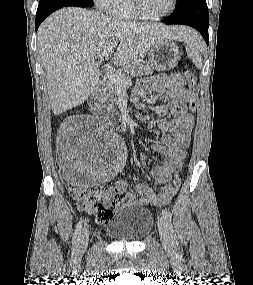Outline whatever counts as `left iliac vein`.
I'll list each match as a JSON object with an SVG mask.
<instances>
[{"label":"left iliac vein","instance_id":"1","mask_svg":"<svg viewBox=\"0 0 253 285\" xmlns=\"http://www.w3.org/2000/svg\"><path fill=\"white\" fill-rule=\"evenodd\" d=\"M157 224H158L160 239L163 246L167 249H170L172 247V241H171L169 228L167 226L165 219L162 217L159 218Z\"/></svg>","mask_w":253,"mask_h":285}]
</instances>
